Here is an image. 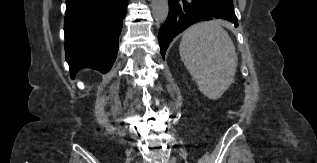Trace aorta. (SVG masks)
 Returning <instances> with one entry per match:
<instances>
[{"mask_svg": "<svg viewBox=\"0 0 317 163\" xmlns=\"http://www.w3.org/2000/svg\"><path fill=\"white\" fill-rule=\"evenodd\" d=\"M153 18L160 23H163L169 12L168 0H152L151 2Z\"/></svg>", "mask_w": 317, "mask_h": 163, "instance_id": "aorta-1", "label": "aorta"}]
</instances>
